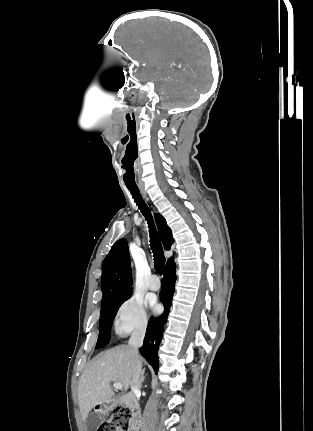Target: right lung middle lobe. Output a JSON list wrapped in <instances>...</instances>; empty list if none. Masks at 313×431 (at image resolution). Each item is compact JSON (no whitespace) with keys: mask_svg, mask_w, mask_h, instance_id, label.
Here are the masks:
<instances>
[{"mask_svg":"<svg viewBox=\"0 0 313 431\" xmlns=\"http://www.w3.org/2000/svg\"><path fill=\"white\" fill-rule=\"evenodd\" d=\"M130 297L131 294L125 297L111 300L109 302L102 303L99 326L100 333L98 336L96 348H101L109 343L111 325L118 311V308L124 301H126Z\"/></svg>","mask_w":313,"mask_h":431,"instance_id":"1","label":"right lung middle lobe"}]
</instances>
